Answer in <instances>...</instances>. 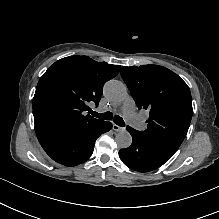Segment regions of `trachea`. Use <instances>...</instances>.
I'll use <instances>...</instances> for the list:
<instances>
[{"label": "trachea", "mask_w": 219, "mask_h": 219, "mask_svg": "<svg viewBox=\"0 0 219 219\" xmlns=\"http://www.w3.org/2000/svg\"><path fill=\"white\" fill-rule=\"evenodd\" d=\"M89 113L99 119H103V120L113 119L114 123L120 127H123L125 125V122L123 121V119L118 115H113L112 112L97 113V112H94L93 110H89Z\"/></svg>", "instance_id": "obj_1"}]
</instances>
